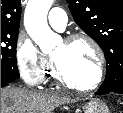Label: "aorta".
Masks as SVG:
<instances>
[{
    "mask_svg": "<svg viewBox=\"0 0 123 113\" xmlns=\"http://www.w3.org/2000/svg\"><path fill=\"white\" fill-rule=\"evenodd\" d=\"M52 3L53 0H29L24 14L27 33L45 54L50 53L60 40L47 23V14Z\"/></svg>",
    "mask_w": 123,
    "mask_h": 113,
    "instance_id": "aorta-1",
    "label": "aorta"
}]
</instances>
